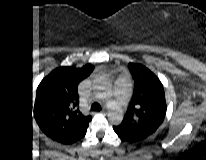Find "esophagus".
<instances>
[{
  "label": "esophagus",
  "mask_w": 206,
  "mask_h": 160,
  "mask_svg": "<svg viewBox=\"0 0 206 160\" xmlns=\"http://www.w3.org/2000/svg\"><path fill=\"white\" fill-rule=\"evenodd\" d=\"M106 112H107L106 108H103L102 111H101V113H102L103 115H106Z\"/></svg>",
  "instance_id": "obj_1"
}]
</instances>
